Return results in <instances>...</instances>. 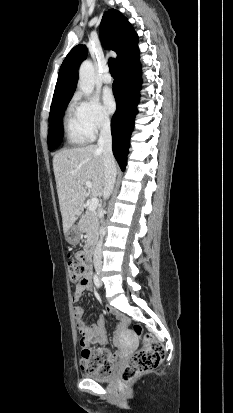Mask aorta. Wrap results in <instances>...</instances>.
<instances>
[{
    "label": "aorta",
    "instance_id": "obj_1",
    "mask_svg": "<svg viewBox=\"0 0 233 413\" xmlns=\"http://www.w3.org/2000/svg\"><path fill=\"white\" fill-rule=\"evenodd\" d=\"M78 87L85 93L91 94L95 87L94 66L90 60H85L79 68Z\"/></svg>",
    "mask_w": 233,
    "mask_h": 413
}]
</instances>
